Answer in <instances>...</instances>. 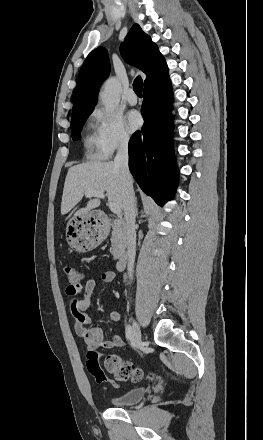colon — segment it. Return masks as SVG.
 Returning <instances> with one entry per match:
<instances>
[{"mask_svg":"<svg viewBox=\"0 0 263 440\" xmlns=\"http://www.w3.org/2000/svg\"><path fill=\"white\" fill-rule=\"evenodd\" d=\"M63 273L69 283V287L71 288L80 287L85 279L83 269L75 265H65L63 267ZM105 367L117 381H140L142 378V371L138 367L116 355H108L105 358ZM87 368L97 383L102 384L111 382L105 372L101 369L95 351H90L88 354Z\"/></svg>","mask_w":263,"mask_h":440,"instance_id":"obj_1","label":"colon"}]
</instances>
